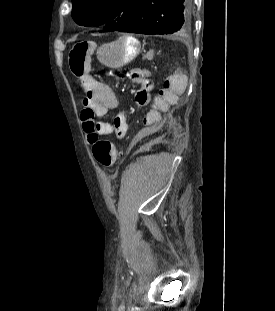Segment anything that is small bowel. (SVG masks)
Segmentation results:
<instances>
[{
  "instance_id": "c3829d8e",
  "label": "small bowel",
  "mask_w": 275,
  "mask_h": 311,
  "mask_svg": "<svg viewBox=\"0 0 275 311\" xmlns=\"http://www.w3.org/2000/svg\"><path fill=\"white\" fill-rule=\"evenodd\" d=\"M148 69H131V80L138 83L139 91L135 92V103L137 108H145L143 112V126L150 129L156 122L161 121L165 112H171L176 108L180 98H186L188 87L191 82L186 73L180 69H169L167 74H162L159 81L158 91L154 86V80H150ZM82 84L87 91V98L83 101L79 117L87 139L92 143V136L115 135L122 139L127 133L128 123L124 112L119 110V100L113 89L105 82L86 76ZM116 110L112 122L94 120L95 117H103L108 112Z\"/></svg>"
}]
</instances>
